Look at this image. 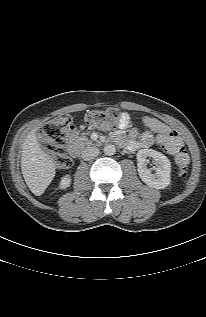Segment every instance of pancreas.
Returning a JSON list of instances; mask_svg holds the SVG:
<instances>
[{"instance_id":"1","label":"pancreas","mask_w":206,"mask_h":317,"mask_svg":"<svg viewBox=\"0 0 206 317\" xmlns=\"http://www.w3.org/2000/svg\"><path fill=\"white\" fill-rule=\"evenodd\" d=\"M77 143L79 144H89L90 141L88 140L87 137L85 136H82V137H78L77 140H76Z\"/></svg>"}]
</instances>
